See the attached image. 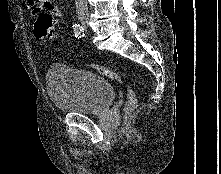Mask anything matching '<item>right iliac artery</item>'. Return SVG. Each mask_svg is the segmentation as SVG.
Segmentation results:
<instances>
[{"label": "right iliac artery", "instance_id": "1", "mask_svg": "<svg viewBox=\"0 0 221 174\" xmlns=\"http://www.w3.org/2000/svg\"><path fill=\"white\" fill-rule=\"evenodd\" d=\"M73 27L76 38H81L84 36V28L80 24H75Z\"/></svg>", "mask_w": 221, "mask_h": 174}]
</instances>
